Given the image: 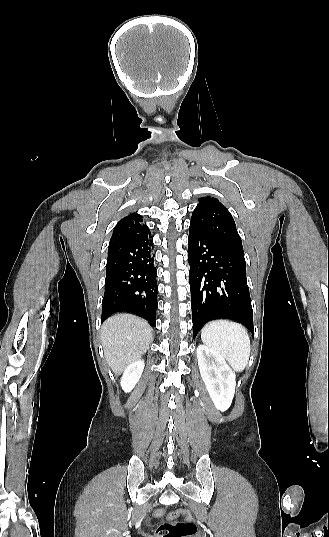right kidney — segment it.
Wrapping results in <instances>:
<instances>
[{"label":"right kidney","mask_w":329,"mask_h":537,"mask_svg":"<svg viewBox=\"0 0 329 537\" xmlns=\"http://www.w3.org/2000/svg\"><path fill=\"white\" fill-rule=\"evenodd\" d=\"M144 370V360L139 359L128 365L121 377V387L125 392H130L139 381Z\"/></svg>","instance_id":"1"}]
</instances>
